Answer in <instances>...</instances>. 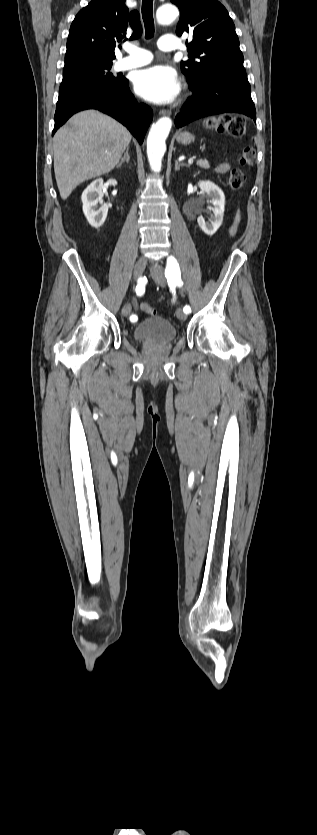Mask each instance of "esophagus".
<instances>
[{"label": "esophagus", "mask_w": 317, "mask_h": 835, "mask_svg": "<svg viewBox=\"0 0 317 835\" xmlns=\"http://www.w3.org/2000/svg\"><path fill=\"white\" fill-rule=\"evenodd\" d=\"M159 114H160V115H171V111H170V110H164V109H163V110H160V111H159Z\"/></svg>", "instance_id": "esophagus-1"}]
</instances>
